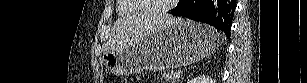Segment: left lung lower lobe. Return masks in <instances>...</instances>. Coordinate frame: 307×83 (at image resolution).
Instances as JSON below:
<instances>
[{
	"mask_svg": "<svg viewBox=\"0 0 307 83\" xmlns=\"http://www.w3.org/2000/svg\"><path fill=\"white\" fill-rule=\"evenodd\" d=\"M235 8V0H180L170 14L207 23L230 39Z\"/></svg>",
	"mask_w": 307,
	"mask_h": 83,
	"instance_id": "obj_1",
	"label": "left lung lower lobe"
}]
</instances>
